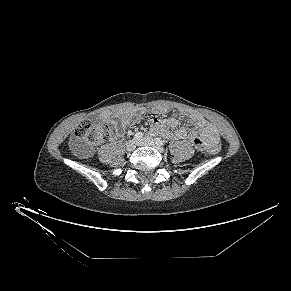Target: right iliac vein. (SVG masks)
<instances>
[{"mask_svg": "<svg viewBox=\"0 0 291 291\" xmlns=\"http://www.w3.org/2000/svg\"><path fill=\"white\" fill-rule=\"evenodd\" d=\"M136 141L135 140H129L127 143H126V150L128 152H131L133 151L135 148H136Z\"/></svg>", "mask_w": 291, "mask_h": 291, "instance_id": "right-iliac-vein-1", "label": "right iliac vein"}]
</instances>
